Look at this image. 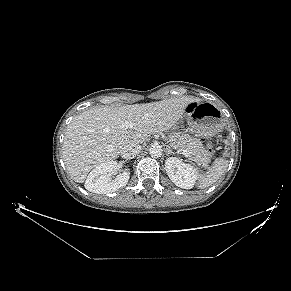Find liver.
<instances>
[{"instance_id":"obj_1","label":"liver","mask_w":291,"mask_h":291,"mask_svg":"<svg viewBox=\"0 0 291 291\" xmlns=\"http://www.w3.org/2000/svg\"><path fill=\"white\" fill-rule=\"evenodd\" d=\"M200 101L186 96L80 113L68 125L63 141L62 157L69 175L83 183L91 169L118 158L125 145L142 144L149 136L174 127L186 107ZM126 121L133 127L122 128Z\"/></svg>"}]
</instances>
